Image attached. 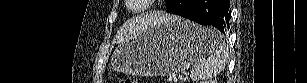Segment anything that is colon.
<instances>
[{
  "label": "colon",
  "instance_id": "colon-1",
  "mask_svg": "<svg viewBox=\"0 0 307 83\" xmlns=\"http://www.w3.org/2000/svg\"><path fill=\"white\" fill-rule=\"evenodd\" d=\"M119 82H120V83H136L135 80L130 79V78L121 79Z\"/></svg>",
  "mask_w": 307,
  "mask_h": 83
}]
</instances>
